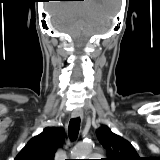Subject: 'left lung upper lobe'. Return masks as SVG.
I'll return each instance as SVG.
<instances>
[{
	"instance_id": "1",
	"label": "left lung upper lobe",
	"mask_w": 160,
	"mask_h": 160,
	"mask_svg": "<svg viewBox=\"0 0 160 160\" xmlns=\"http://www.w3.org/2000/svg\"><path fill=\"white\" fill-rule=\"evenodd\" d=\"M96 134L99 142L107 151L108 157L103 160H142L131 143L113 133L107 126H101Z\"/></svg>"
}]
</instances>
